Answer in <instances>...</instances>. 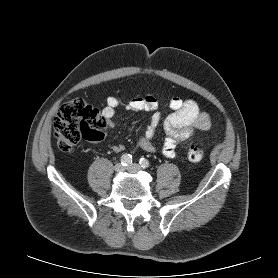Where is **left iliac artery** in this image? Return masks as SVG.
<instances>
[{"mask_svg": "<svg viewBox=\"0 0 278 278\" xmlns=\"http://www.w3.org/2000/svg\"><path fill=\"white\" fill-rule=\"evenodd\" d=\"M139 164H140L141 167H143V168H147V167H149V165H150L149 161H148L147 159H145V158H141V159L139 160Z\"/></svg>", "mask_w": 278, "mask_h": 278, "instance_id": "44dca946", "label": "left iliac artery"}]
</instances>
